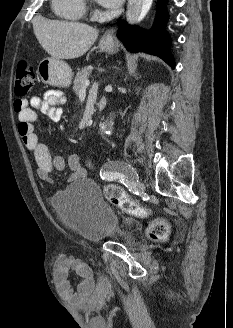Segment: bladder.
Here are the masks:
<instances>
[{
    "instance_id": "1",
    "label": "bladder",
    "mask_w": 233,
    "mask_h": 328,
    "mask_svg": "<svg viewBox=\"0 0 233 328\" xmlns=\"http://www.w3.org/2000/svg\"><path fill=\"white\" fill-rule=\"evenodd\" d=\"M51 204L60 219L86 241L99 242L121 236L126 243L131 242L129 237L121 235L118 216L91 180L74 181L55 193Z\"/></svg>"
}]
</instances>
